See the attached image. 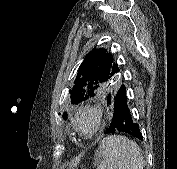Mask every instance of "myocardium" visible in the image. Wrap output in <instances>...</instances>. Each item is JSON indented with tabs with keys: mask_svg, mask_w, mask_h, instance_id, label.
<instances>
[{
	"mask_svg": "<svg viewBox=\"0 0 177 169\" xmlns=\"http://www.w3.org/2000/svg\"><path fill=\"white\" fill-rule=\"evenodd\" d=\"M83 116H89L92 120V128L86 132L79 126V121ZM102 114L101 111L92 105H84L78 109L73 118V127L78 134L84 138H90L97 133L101 126Z\"/></svg>",
	"mask_w": 177,
	"mask_h": 169,
	"instance_id": "myocardium-1",
	"label": "myocardium"
}]
</instances>
